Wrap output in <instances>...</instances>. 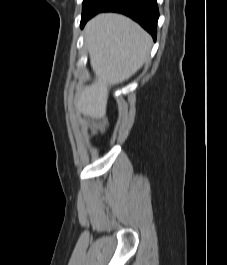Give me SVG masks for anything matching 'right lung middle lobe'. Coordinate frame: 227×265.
I'll use <instances>...</instances> for the list:
<instances>
[{
	"label": "right lung middle lobe",
	"mask_w": 227,
	"mask_h": 265,
	"mask_svg": "<svg viewBox=\"0 0 227 265\" xmlns=\"http://www.w3.org/2000/svg\"><path fill=\"white\" fill-rule=\"evenodd\" d=\"M104 0H84L81 21L91 16Z\"/></svg>",
	"instance_id": "right-lung-middle-lobe-1"
}]
</instances>
